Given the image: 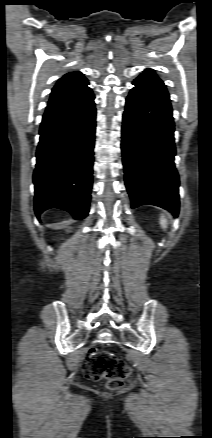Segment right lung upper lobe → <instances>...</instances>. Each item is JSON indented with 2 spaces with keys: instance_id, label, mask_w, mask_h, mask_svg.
I'll return each instance as SVG.
<instances>
[{
  "instance_id": "cb5924a9",
  "label": "right lung upper lobe",
  "mask_w": 212,
  "mask_h": 438,
  "mask_svg": "<svg viewBox=\"0 0 212 438\" xmlns=\"http://www.w3.org/2000/svg\"><path fill=\"white\" fill-rule=\"evenodd\" d=\"M88 80L81 72L64 75L54 86L48 105H57L77 101L92 94Z\"/></svg>"
}]
</instances>
